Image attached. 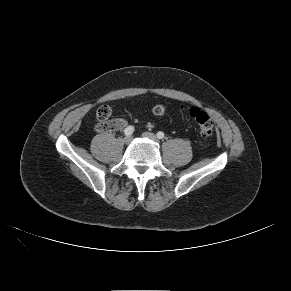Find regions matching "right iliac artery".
Segmentation results:
<instances>
[{
	"instance_id": "1",
	"label": "right iliac artery",
	"mask_w": 291,
	"mask_h": 291,
	"mask_svg": "<svg viewBox=\"0 0 291 291\" xmlns=\"http://www.w3.org/2000/svg\"><path fill=\"white\" fill-rule=\"evenodd\" d=\"M133 132H134V127H133V126H128V127H126L125 130H124V134H125L126 136H130V135H132Z\"/></svg>"
}]
</instances>
